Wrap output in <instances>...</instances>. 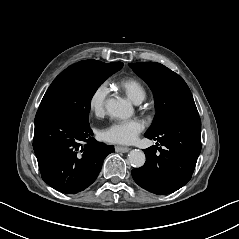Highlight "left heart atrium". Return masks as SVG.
<instances>
[{
    "mask_svg": "<svg viewBox=\"0 0 239 239\" xmlns=\"http://www.w3.org/2000/svg\"><path fill=\"white\" fill-rule=\"evenodd\" d=\"M144 128V120L138 117L129 120L114 119L102 129L101 138L112 143L132 144Z\"/></svg>",
    "mask_w": 239,
    "mask_h": 239,
    "instance_id": "39dd6f15",
    "label": "left heart atrium"
}]
</instances>
